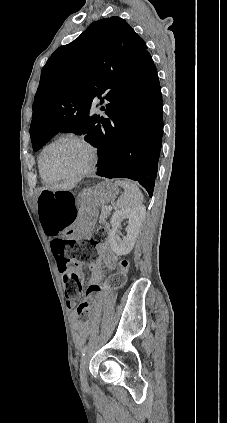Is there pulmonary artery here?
<instances>
[{
    "mask_svg": "<svg viewBox=\"0 0 227 423\" xmlns=\"http://www.w3.org/2000/svg\"><path fill=\"white\" fill-rule=\"evenodd\" d=\"M97 112V110H96V108L95 107H92V109H91V114H94V113H96ZM87 116V115H86Z\"/></svg>",
    "mask_w": 227,
    "mask_h": 423,
    "instance_id": "1",
    "label": "pulmonary artery"
}]
</instances>
